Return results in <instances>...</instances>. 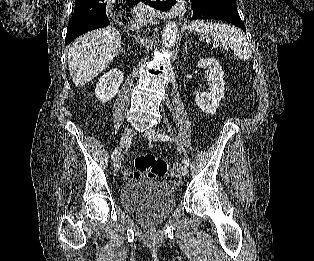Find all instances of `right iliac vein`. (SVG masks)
Instances as JSON below:
<instances>
[{"label": "right iliac vein", "mask_w": 314, "mask_h": 261, "mask_svg": "<svg viewBox=\"0 0 314 261\" xmlns=\"http://www.w3.org/2000/svg\"><path fill=\"white\" fill-rule=\"evenodd\" d=\"M133 134H134V131L132 128H128L124 131L121 141H120V144L122 147L132 139ZM120 166H121V153L118 152L114 158V163H113L114 170L119 171Z\"/></svg>", "instance_id": "obj_1"}]
</instances>
